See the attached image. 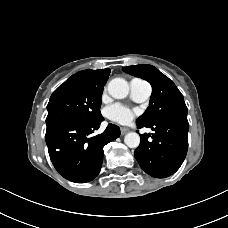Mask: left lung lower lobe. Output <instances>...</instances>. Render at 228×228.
Listing matches in <instances>:
<instances>
[{
  "label": "left lung lower lobe",
  "instance_id": "0a47b994",
  "mask_svg": "<svg viewBox=\"0 0 228 228\" xmlns=\"http://www.w3.org/2000/svg\"><path fill=\"white\" fill-rule=\"evenodd\" d=\"M136 123L138 128L147 127L154 131L151 135H140L141 143L134 152L141 168L156 178H165L175 173L188 149L187 112L173 114L150 125Z\"/></svg>",
  "mask_w": 228,
  "mask_h": 228
}]
</instances>
